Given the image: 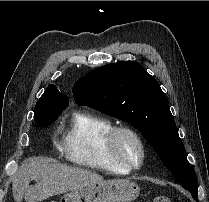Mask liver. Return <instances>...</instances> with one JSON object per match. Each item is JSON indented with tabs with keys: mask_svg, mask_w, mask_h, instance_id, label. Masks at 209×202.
Returning a JSON list of instances; mask_svg holds the SVG:
<instances>
[{
	"mask_svg": "<svg viewBox=\"0 0 209 202\" xmlns=\"http://www.w3.org/2000/svg\"><path fill=\"white\" fill-rule=\"evenodd\" d=\"M34 180L35 186H30ZM103 177L86 169L50 163L47 159L33 157L24 160L12 184L16 202H40L52 196L102 182Z\"/></svg>",
	"mask_w": 209,
	"mask_h": 202,
	"instance_id": "1",
	"label": "liver"
}]
</instances>
